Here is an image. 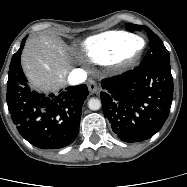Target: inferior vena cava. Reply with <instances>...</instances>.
<instances>
[{"label": "inferior vena cava", "mask_w": 187, "mask_h": 187, "mask_svg": "<svg viewBox=\"0 0 187 187\" xmlns=\"http://www.w3.org/2000/svg\"><path fill=\"white\" fill-rule=\"evenodd\" d=\"M87 78V73L80 69H74L70 72L69 76H68V83L70 85H78L83 83Z\"/></svg>", "instance_id": "inferior-vena-cava-1"}]
</instances>
